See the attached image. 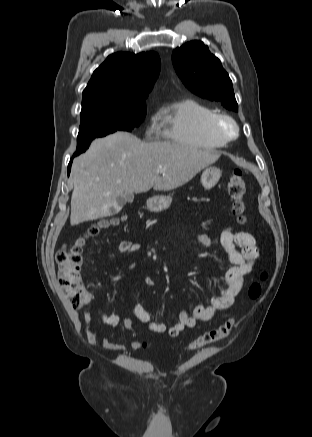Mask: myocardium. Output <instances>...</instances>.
Returning a JSON list of instances; mask_svg holds the SVG:
<instances>
[{"instance_id":"obj_1","label":"myocardium","mask_w":312,"mask_h":437,"mask_svg":"<svg viewBox=\"0 0 312 437\" xmlns=\"http://www.w3.org/2000/svg\"><path fill=\"white\" fill-rule=\"evenodd\" d=\"M224 124H227L231 130L226 131L223 128ZM207 127L213 136L224 142L234 140L239 133V126L236 120L231 115L224 112L213 113L208 119Z\"/></svg>"}]
</instances>
